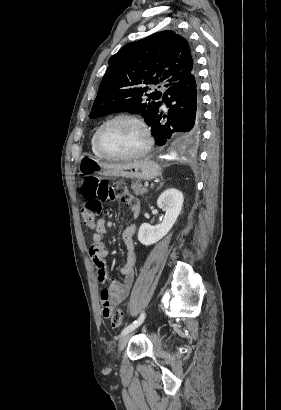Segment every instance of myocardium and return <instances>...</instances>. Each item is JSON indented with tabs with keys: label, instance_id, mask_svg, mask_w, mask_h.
<instances>
[{
	"label": "myocardium",
	"instance_id": "f54148a6",
	"mask_svg": "<svg viewBox=\"0 0 281 410\" xmlns=\"http://www.w3.org/2000/svg\"><path fill=\"white\" fill-rule=\"evenodd\" d=\"M130 120L134 123H136L143 131L144 135H145V143L143 145V147L134 153L131 154H124V155H118V154H113L108 152L102 145V141H101V136L102 133L104 131V129L109 126L110 124L118 121V120ZM95 145L97 150L100 152V154L107 159L110 160H130V159H136V158H140L144 155H146L152 148L153 146V137L152 134L150 132L149 127L147 126V124L138 116L134 115V114H130V113H120L117 114L115 116H113L112 118L106 120L104 123H102L96 130L95 133Z\"/></svg>",
	"mask_w": 281,
	"mask_h": 410
}]
</instances>
